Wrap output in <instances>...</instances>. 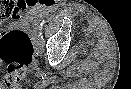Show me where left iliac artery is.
I'll return each mask as SVG.
<instances>
[{"label":"left iliac artery","instance_id":"44dca946","mask_svg":"<svg viewBox=\"0 0 131 89\" xmlns=\"http://www.w3.org/2000/svg\"><path fill=\"white\" fill-rule=\"evenodd\" d=\"M43 22H44V21H43ZM43 22H41V24H40L41 26H43V25H44V23H43Z\"/></svg>","mask_w":131,"mask_h":89}]
</instances>
